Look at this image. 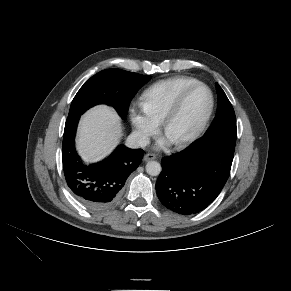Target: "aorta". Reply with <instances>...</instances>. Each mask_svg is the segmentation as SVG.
Listing matches in <instances>:
<instances>
[{"label": "aorta", "instance_id": "obj_1", "mask_svg": "<svg viewBox=\"0 0 291 291\" xmlns=\"http://www.w3.org/2000/svg\"><path fill=\"white\" fill-rule=\"evenodd\" d=\"M162 170L161 165L157 161H150L146 164V172L151 176H157Z\"/></svg>", "mask_w": 291, "mask_h": 291}]
</instances>
